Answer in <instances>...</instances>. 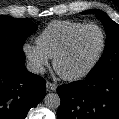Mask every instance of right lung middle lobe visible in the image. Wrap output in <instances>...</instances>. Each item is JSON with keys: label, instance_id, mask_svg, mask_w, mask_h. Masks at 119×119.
Here are the masks:
<instances>
[{"label": "right lung middle lobe", "instance_id": "1", "mask_svg": "<svg viewBox=\"0 0 119 119\" xmlns=\"http://www.w3.org/2000/svg\"><path fill=\"white\" fill-rule=\"evenodd\" d=\"M37 25L24 18L0 16V59L25 60L22 49L25 39Z\"/></svg>", "mask_w": 119, "mask_h": 119}]
</instances>
